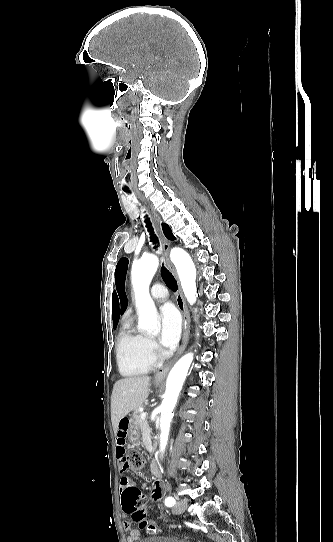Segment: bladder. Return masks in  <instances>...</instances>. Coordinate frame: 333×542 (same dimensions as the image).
I'll use <instances>...</instances> for the list:
<instances>
[{
    "mask_svg": "<svg viewBox=\"0 0 333 542\" xmlns=\"http://www.w3.org/2000/svg\"><path fill=\"white\" fill-rule=\"evenodd\" d=\"M144 538L145 539H143L141 542H190L188 540H183L166 535H149Z\"/></svg>",
    "mask_w": 333,
    "mask_h": 542,
    "instance_id": "31cf9c89",
    "label": "bladder"
}]
</instances>
